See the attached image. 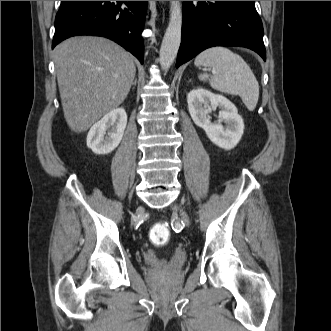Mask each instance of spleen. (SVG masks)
<instances>
[{
  "label": "spleen",
  "instance_id": "spleen-1",
  "mask_svg": "<svg viewBox=\"0 0 331 331\" xmlns=\"http://www.w3.org/2000/svg\"><path fill=\"white\" fill-rule=\"evenodd\" d=\"M196 66L214 68V74H200L201 81L223 93L239 95L249 111L256 108L259 84L243 58L226 47L216 46L201 52L195 59Z\"/></svg>",
  "mask_w": 331,
  "mask_h": 331
}]
</instances>
